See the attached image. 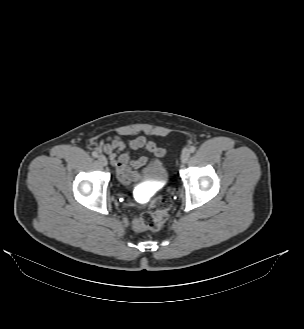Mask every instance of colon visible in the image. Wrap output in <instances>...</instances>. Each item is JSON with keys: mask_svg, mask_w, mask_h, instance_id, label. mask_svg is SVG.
<instances>
[{"mask_svg": "<svg viewBox=\"0 0 304 329\" xmlns=\"http://www.w3.org/2000/svg\"><path fill=\"white\" fill-rule=\"evenodd\" d=\"M170 206L171 200L167 195L153 198L149 203L148 211L133 219V229L158 231L167 219Z\"/></svg>", "mask_w": 304, "mask_h": 329, "instance_id": "obj_1", "label": "colon"}]
</instances>
